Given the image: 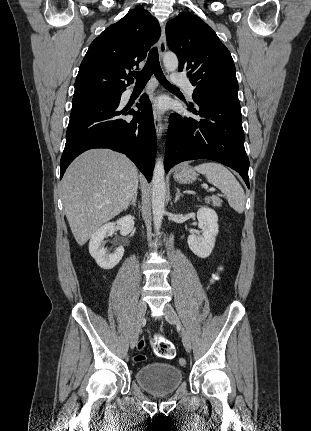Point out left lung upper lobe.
Segmentation results:
<instances>
[{
    "label": "left lung upper lobe",
    "mask_w": 311,
    "mask_h": 431,
    "mask_svg": "<svg viewBox=\"0 0 311 431\" xmlns=\"http://www.w3.org/2000/svg\"><path fill=\"white\" fill-rule=\"evenodd\" d=\"M167 44L178 57L179 71L195 86L194 101L212 95L238 96L235 65L229 50L199 17L180 13L166 25Z\"/></svg>",
    "instance_id": "1"
}]
</instances>
